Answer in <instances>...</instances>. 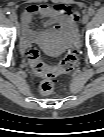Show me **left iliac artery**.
Here are the masks:
<instances>
[{"mask_svg": "<svg viewBox=\"0 0 104 137\" xmlns=\"http://www.w3.org/2000/svg\"><path fill=\"white\" fill-rule=\"evenodd\" d=\"M88 14H89L90 16L94 15V14H95L94 9L90 8V9L88 10Z\"/></svg>", "mask_w": 104, "mask_h": 137, "instance_id": "obj_1", "label": "left iliac artery"}]
</instances>
